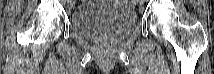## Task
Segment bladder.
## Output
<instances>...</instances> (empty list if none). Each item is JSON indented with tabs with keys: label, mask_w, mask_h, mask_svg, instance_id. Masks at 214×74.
Returning <instances> with one entry per match:
<instances>
[{
	"label": "bladder",
	"mask_w": 214,
	"mask_h": 74,
	"mask_svg": "<svg viewBox=\"0 0 214 74\" xmlns=\"http://www.w3.org/2000/svg\"><path fill=\"white\" fill-rule=\"evenodd\" d=\"M136 12L119 1H92L82 3L71 15V29L87 39L106 36L120 40L134 30Z\"/></svg>",
	"instance_id": "obj_1"
}]
</instances>
